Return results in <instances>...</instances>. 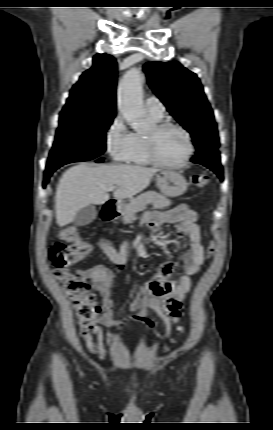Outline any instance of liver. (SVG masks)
Instances as JSON below:
<instances>
[{
  "instance_id": "obj_1",
  "label": "liver",
  "mask_w": 273,
  "mask_h": 430,
  "mask_svg": "<svg viewBox=\"0 0 273 430\" xmlns=\"http://www.w3.org/2000/svg\"><path fill=\"white\" fill-rule=\"evenodd\" d=\"M158 169L135 165H96L80 163L65 171L57 186L55 210L57 224L71 223L77 212L88 205L104 204L107 190L117 186L113 196L131 198L147 188Z\"/></svg>"
}]
</instances>
